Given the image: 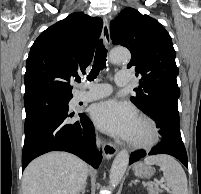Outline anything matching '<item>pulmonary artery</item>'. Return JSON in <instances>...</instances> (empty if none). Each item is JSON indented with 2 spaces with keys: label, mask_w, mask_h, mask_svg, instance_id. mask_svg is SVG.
Masks as SVG:
<instances>
[{
  "label": "pulmonary artery",
  "mask_w": 201,
  "mask_h": 194,
  "mask_svg": "<svg viewBox=\"0 0 201 194\" xmlns=\"http://www.w3.org/2000/svg\"><path fill=\"white\" fill-rule=\"evenodd\" d=\"M130 81V75L126 71H119L115 76V82L118 86L127 85ZM112 93V86L107 83L91 84L88 90H80L75 95L78 102H89L97 100Z\"/></svg>",
  "instance_id": "1"
}]
</instances>
